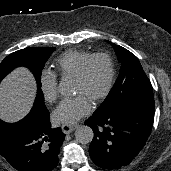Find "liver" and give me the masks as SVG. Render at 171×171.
Listing matches in <instances>:
<instances>
[{
    "instance_id": "1",
    "label": "liver",
    "mask_w": 171,
    "mask_h": 171,
    "mask_svg": "<svg viewBox=\"0 0 171 171\" xmlns=\"http://www.w3.org/2000/svg\"><path fill=\"white\" fill-rule=\"evenodd\" d=\"M36 92L32 73L24 67L12 71L0 84V118L16 122L30 111Z\"/></svg>"
}]
</instances>
